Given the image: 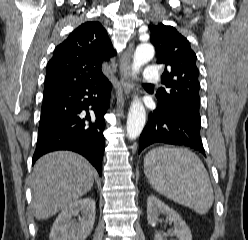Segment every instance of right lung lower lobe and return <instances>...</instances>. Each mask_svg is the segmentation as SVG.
<instances>
[{"label":"right lung lower lobe","mask_w":248,"mask_h":240,"mask_svg":"<svg viewBox=\"0 0 248 240\" xmlns=\"http://www.w3.org/2000/svg\"><path fill=\"white\" fill-rule=\"evenodd\" d=\"M110 90L111 83L105 77L43 95L33 163L48 152L72 150L86 157L101 175Z\"/></svg>","instance_id":"obj_1"}]
</instances>
